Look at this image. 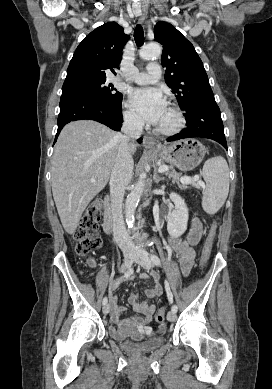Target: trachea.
Returning <instances> with one entry per match:
<instances>
[{"mask_svg":"<svg viewBox=\"0 0 272 389\" xmlns=\"http://www.w3.org/2000/svg\"><path fill=\"white\" fill-rule=\"evenodd\" d=\"M134 39L137 46H141L144 43V31L141 25H137L134 30Z\"/></svg>","mask_w":272,"mask_h":389,"instance_id":"obj_1","label":"trachea"}]
</instances>
